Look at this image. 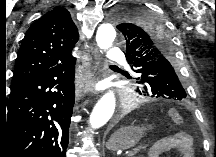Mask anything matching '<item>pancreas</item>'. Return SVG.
<instances>
[{
  "label": "pancreas",
  "instance_id": "1",
  "mask_svg": "<svg viewBox=\"0 0 216 157\" xmlns=\"http://www.w3.org/2000/svg\"><path fill=\"white\" fill-rule=\"evenodd\" d=\"M137 152H138V150H135V151L131 152L128 156H129V157H134V155H135Z\"/></svg>",
  "mask_w": 216,
  "mask_h": 157
}]
</instances>
